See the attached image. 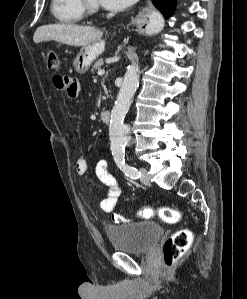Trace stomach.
<instances>
[{"instance_id": "obj_1", "label": "stomach", "mask_w": 247, "mask_h": 299, "mask_svg": "<svg viewBox=\"0 0 247 299\" xmlns=\"http://www.w3.org/2000/svg\"><path fill=\"white\" fill-rule=\"evenodd\" d=\"M104 48V41H97L82 47L73 62L75 71L79 74L87 72L92 63L102 54Z\"/></svg>"}]
</instances>
